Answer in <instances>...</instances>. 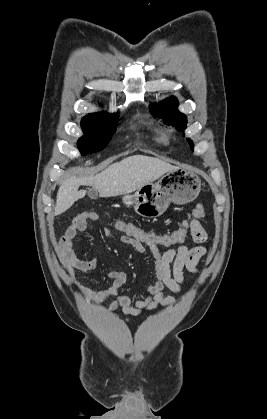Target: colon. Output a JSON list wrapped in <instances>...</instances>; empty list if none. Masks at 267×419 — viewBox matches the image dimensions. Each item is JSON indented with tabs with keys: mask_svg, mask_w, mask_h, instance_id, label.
<instances>
[{
	"mask_svg": "<svg viewBox=\"0 0 267 419\" xmlns=\"http://www.w3.org/2000/svg\"><path fill=\"white\" fill-rule=\"evenodd\" d=\"M204 214V207L202 205L196 206L189 214L188 219L183 222L182 226L169 233H156L143 229L132 222L121 220L114 221L112 226L114 230L120 233V241L128 246L144 245L150 248H168L182 243L190 229V221L192 219H199Z\"/></svg>",
	"mask_w": 267,
	"mask_h": 419,
	"instance_id": "5ec220e1",
	"label": "colon"
}]
</instances>
